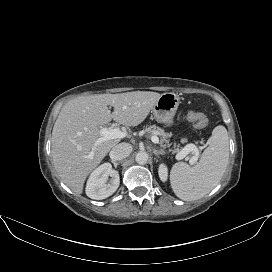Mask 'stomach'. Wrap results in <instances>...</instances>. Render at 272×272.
<instances>
[{
  "mask_svg": "<svg viewBox=\"0 0 272 272\" xmlns=\"http://www.w3.org/2000/svg\"><path fill=\"white\" fill-rule=\"evenodd\" d=\"M180 103V98L175 93H164L152 108L154 118L167 126L174 124L173 118Z\"/></svg>",
  "mask_w": 272,
  "mask_h": 272,
  "instance_id": "0dacf381",
  "label": "stomach"
}]
</instances>
